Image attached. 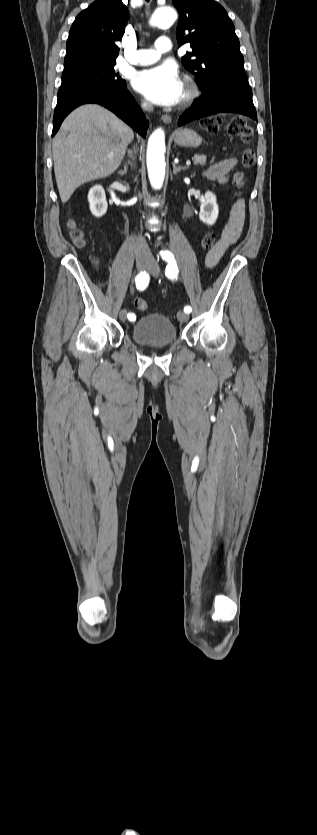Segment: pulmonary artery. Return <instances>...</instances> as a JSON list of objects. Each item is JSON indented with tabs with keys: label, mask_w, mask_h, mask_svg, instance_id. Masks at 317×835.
Masks as SVG:
<instances>
[{
	"label": "pulmonary artery",
	"mask_w": 317,
	"mask_h": 835,
	"mask_svg": "<svg viewBox=\"0 0 317 835\" xmlns=\"http://www.w3.org/2000/svg\"><path fill=\"white\" fill-rule=\"evenodd\" d=\"M172 43L169 37L161 36L151 49H139L135 54V63L138 65H148L156 62L162 53L170 51Z\"/></svg>",
	"instance_id": "pulmonary-artery-1"
}]
</instances>
